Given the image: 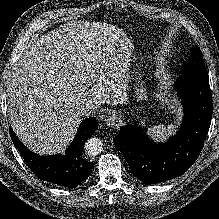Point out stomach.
Returning <instances> with one entry per match:
<instances>
[{
    "label": "stomach",
    "mask_w": 219,
    "mask_h": 219,
    "mask_svg": "<svg viewBox=\"0 0 219 219\" xmlns=\"http://www.w3.org/2000/svg\"><path fill=\"white\" fill-rule=\"evenodd\" d=\"M136 99L137 101H143L144 99H146V89L143 87H136Z\"/></svg>",
    "instance_id": "obj_1"
}]
</instances>
